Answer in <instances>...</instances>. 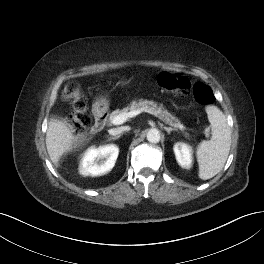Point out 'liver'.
<instances>
[{
    "mask_svg": "<svg viewBox=\"0 0 264 264\" xmlns=\"http://www.w3.org/2000/svg\"><path fill=\"white\" fill-rule=\"evenodd\" d=\"M84 139L81 135H74L72 128L65 122L51 118L46 132V147L54 165L57 166L63 154L71 152Z\"/></svg>",
    "mask_w": 264,
    "mask_h": 264,
    "instance_id": "obj_1",
    "label": "liver"
}]
</instances>
